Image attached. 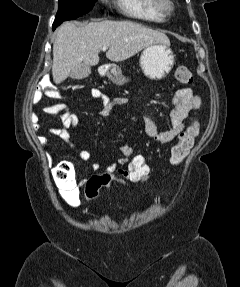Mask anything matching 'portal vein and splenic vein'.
<instances>
[{
	"label": "portal vein and splenic vein",
	"mask_w": 240,
	"mask_h": 287,
	"mask_svg": "<svg viewBox=\"0 0 240 287\" xmlns=\"http://www.w3.org/2000/svg\"><path fill=\"white\" fill-rule=\"evenodd\" d=\"M107 49H108L107 46H103V47H102V50H103V51H106Z\"/></svg>",
	"instance_id": "portal-vein-and-splenic-vein-1"
}]
</instances>
